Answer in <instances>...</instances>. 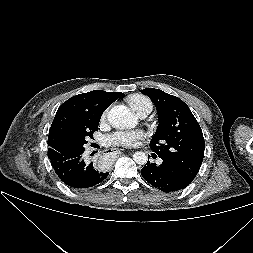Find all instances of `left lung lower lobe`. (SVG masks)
I'll use <instances>...</instances> for the list:
<instances>
[{"label":"left lung lower lobe","mask_w":253,"mask_h":253,"mask_svg":"<svg viewBox=\"0 0 253 253\" xmlns=\"http://www.w3.org/2000/svg\"><path fill=\"white\" fill-rule=\"evenodd\" d=\"M141 175L153 187L167 193L184 189L194 179L178 166L166 160H163L162 164L157 166L150 163L148 159L141 169Z\"/></svg>","instance_id":"obj_1"}]
</instances>
